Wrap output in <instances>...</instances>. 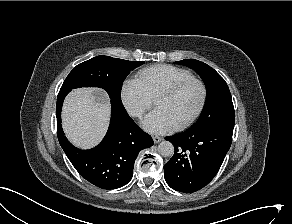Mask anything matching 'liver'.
Masks as SVG:
<instances>
[{
	"instance_id": "6515ba94",
	"label": "liver",
	"mask_w": 292,
	"mask_h": 224,
	"mask_svg": "<svg viewBox=\"0 0 292 224\" xmlns=\"http://www.w3.org/2000/svg\"><path fill=\"white\" fill-rule=\"evenodd\" d=\"M109 116V99L103 91L91 88L75 89L64 102L63 129L74 145L88 149L104 136Z\"/></svg>"
}]
</instances>
